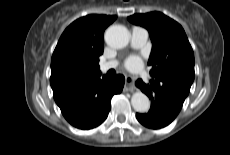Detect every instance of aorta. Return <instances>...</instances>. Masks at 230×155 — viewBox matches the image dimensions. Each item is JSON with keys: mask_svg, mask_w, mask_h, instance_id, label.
Segmentation results:
<instances>
[{"mask_svg": "<svg viewBox=\"0 0 230 155\" xmlns=\"http://www.w3.org/2000/svg\"><path fill=\"white\" fill-rule=\"evenodd\" d=\"M104 38L108 46L121 49L127 46L130 33L128 29L122 25H112L106 30ZM131 104L137 112H147L150 108V100L142 92H135L132 95Z\"/></svg>", "mask_w": 230, "mask_h": 155, "instance_id": "1", "label": "aorta"}]
</instances>
